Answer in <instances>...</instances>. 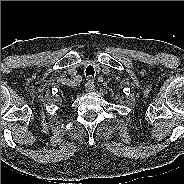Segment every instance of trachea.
Instances as JSON below:
<instances>
[{
    "mask_svg": "<svg viewBox=\"0 0 184 184\" xmlns=\"http://www.w3.org/2000/svg\"><path fill=\"white\" fill-rule=\"evenodd\" d=\"M86 76L94 77V68L92 66H88L86 69Z\"/></svg>",
    "mask_w": 184,
    "mask_h": 184,
    "instance_id": "1",
    "label": "trachea"
}]
</instances>
